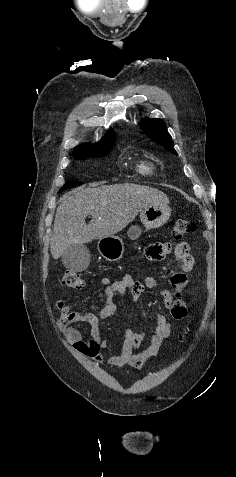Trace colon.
I'll use <instances>...</instances> for the list:
<instances>
[{
  "label": "colon",
  "mask_w": 236,
  "mask_h": 477,
  "mask_svg": "<svg viewBox=\"0 0 236 477\" xmlns=\"http://www.w3.org/2000/svg\"><path fill=\"white\" fill-rule=\"evenodd\" d=\"M195 229L196 228L193 221L186 218H179L173 223L172 236L174 239H180L184 236L194 233ZM188 251L189 250L187 248L177 247L175 254L183 255L188 253ZM61 285L65 288L80 289L84 287L85 279L77 272L67 271L61 277Z\"/></svg>",
  "instance_id": "obj_1"
}]
</instances>
